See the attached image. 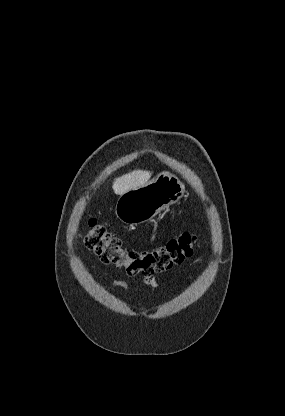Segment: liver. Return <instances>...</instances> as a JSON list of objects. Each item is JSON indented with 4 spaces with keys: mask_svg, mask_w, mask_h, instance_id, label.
Segmentation results:
<instances>
[{
    "mask_svg": "<svg viewBox=\"0 0 285 416\" xmlns=\"http://www.w3.org/2000/svg\"><path fill=\"white\" fill-rule=\"evenodd\" d=\"M151 176L152 172H145V170H134V172H130V174H125V176H121V178H116L112 186L114 194H117V196H122V194L130 192V190H135V188L145 186V184L149 182Z\"/></svg>",
    "mask_w": 285,
    "mask_h": 416,
    "instance_id": "1",
    "label": "liver"
}]
</instances>
